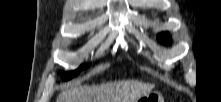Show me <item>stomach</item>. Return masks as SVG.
Returning <instances> with one entry per match:
<instances>
[{
  "label": "stomach",
  "mask_w": 221,
  "mask_h": 102,
  "mask_svg": "<svg viewBox=\"0 0 221 102\" xmlns=\"http://www.w3.org/2000/svg\"><path fill=\"white\" fill-rule=\"evenodd\" d=\"M137 102H164V99L160 92L151 91L150 93L139 98Z\"/></svg>",
  "instance_id": "0dacf381"
}]
</instances>
